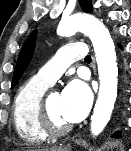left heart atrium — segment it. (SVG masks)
<instances>
[{
	"label": "left heart atrium",
	"instance_id": "left-heart-atrium-1",
	"mask_svg": "<svg viewBox=\"0 0 131 151\" xmlns=\"http://www.w3.org/2000/svg\"><path fill=\"white\" fill-rule=\"evenodd\" d=\"M62 112L69 123L85 118L92 103V92L87 82L74 79L61 93Z\"/></svg>",
	"mask_w": 131,
	"mask_h": 151
}]
</instances>
